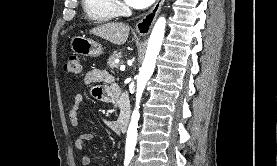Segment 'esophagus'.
<instances>
[{
  "mask_svg": "<svg viewBox=\"0 0 277 166\" xmlns=\"http://www.w3.org/2000/svg\"><path fill=\"white\" fill-rule=\"evenodd\" d=\"M165 0H157L152 9L137 22L135 29L140 35H146L150 32L157 15L159 14L161 7Z\"/></svg>",
  "mask_w": 277,
  "mask_h": 166,
  "instance_id": "esophagus-1",
  "label": "esophagus"
}]
</instances>
